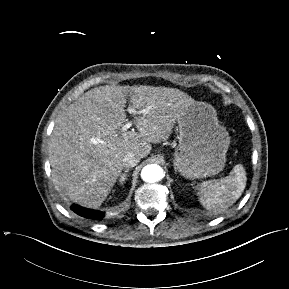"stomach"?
Wrapping results in <instances>:
<instances>
[{"label": "stomach", "instance_id": "obj_1", "mask_svg": "<svg viewBox=\"0 0 289 289\" xmlns=\"http://www.w3.org/2000/svg\"><path fill=\"white\" fill-rule=\"evenodd\" d=\"M179 144L174 168L184 177H206L223 170L230 144L229 133L219 124L216 110L195 102L177 119Z\"/></svg>", "mask_w": 289, "mask_h": 289}]
</instances>
